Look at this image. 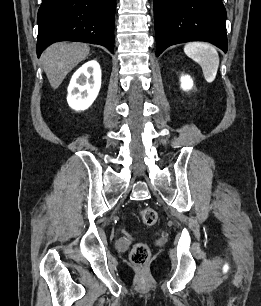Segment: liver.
<instances>
[{
  "instance_id": "obj_1",
  "label": "liver",
  "mask_w": 261,
  "mask_h": 306,
  "mask_svg": "<svg viewBox=\"0 0 261 306\" xmlns=\"http://www.w3.org/2000/svg\"><path fill=\"white\" fill-rule=\"evenodd\" d=\"M84 43H55L42 54V66L53 89H57L66 75L89 54Z\"/></svg>"
}]
</instances>
